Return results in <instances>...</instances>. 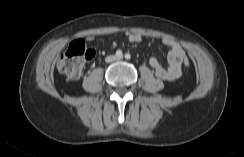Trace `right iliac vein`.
Returning a JSON list of instances; mask_svg holds the SVG:
<instances>
[{
	"instance_id": "63e3f726",
	"label": "right iliac vein",
	"mask_w": 244,
	"mask_h": 157,
	"mask_svg": "<svg viewBox=\"0 0 244 157\" xmlns=\"http://www.w3.org/2000/svg\"><path fill=\"white\" fill-rule=\"evenodd\" d=\"M114 60V58L112 57V56H109L108 58H107V61H113Z\"/></svg>"
}]
</instances>
